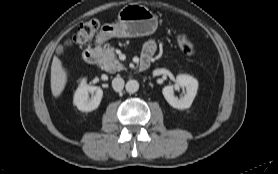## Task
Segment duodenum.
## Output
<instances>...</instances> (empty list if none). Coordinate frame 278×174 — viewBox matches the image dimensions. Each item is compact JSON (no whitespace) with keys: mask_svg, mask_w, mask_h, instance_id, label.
<instances>
[{"mask_svg":"<svg viewBox=\"0 0 278 174\" xmlns=\"http://www.w3.org/2000/svg\"><path fill=\"white\" fill-rule=\"evenodd\" d=\"M101 39L96 40V45L93 48L86 49L83 53V58L88 64L97 63L100 56ZM150 65V60L143 58L139 64V70H146Z\"/></svg>","mask_w":278,"mask_h":174,"instance_id":"410a0bca","label":"duodenum"}]
</instances>
